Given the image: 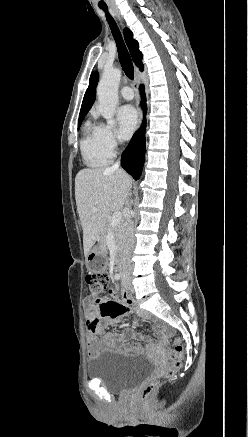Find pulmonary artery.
<instances>
[{"mask_svg":"<svg viewBox=\"0 0 248 437\" xmlns=\"http://www.w3.org/2000/svg\"><path fill=\"white\" fill-rule=\"evenodd\" d=\"M120 94L125 100H131L134 97L132 89L128 86L122 87L120 90Z\"/></svg>","mask_w":248,"mask_h":437,"instance_id":"obj_1","label":"pulmonary artery"}]
</instances>
